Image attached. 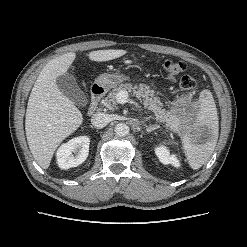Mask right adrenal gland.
Listing matches in <instances>:
<instances>
[{
    "mask_svg": "<svg viewBox=\"0 0 247 247\" xmlns=\"http://www.w3.org/2000/svg\"><path fill=\"white\" fill-rule=\"evenodd\" d=\"M90 128H93V126H92V125H90Z\"/></svg>",
    "mask_w": 247,
    "mask_h": 247,
    "instance_id": "right-adrenal-gland-1",
    "label": "right adrenal gland"
}]
</instances>
